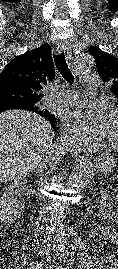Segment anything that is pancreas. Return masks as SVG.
I'll use <instances>...</instances> for the list:
<instances>
[{
	"label": "pancreas",
	"mask_w": 118,
	"mask_h": 269,
	"mask_svg": "<svg viewBox=\"0 0 118 269\" xmlns=\"http://www.w3.org/2000/svg\"><path fill=\"white\" fill-rule=\"evenodd\" d=\"M118 176V175H117ZM118 179V178H117ZM102 181H106V182H113L114 178L113 177H106V178H102Z\"/></svg>",
	"instance_id": "cf45deb5"
}]
</instances>
